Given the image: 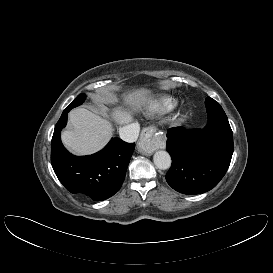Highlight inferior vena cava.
<instances>
[{
  "instance_id": "obj_1",
  "label": "inferior vena cava",
  "mask_w": 273,
  "mask_h": 273,
  "mask_svg": "<svg viewBox=\"0 0 273 273\" xmlns=\"http://www.w3.org/2000/svg\"><path fill=\"white\" fill-rule=\"evenodd\" d=\"M139 123H131L119 129L120 138L126 142H135L139 136Z\"/></svg>"
}]
</instances>
